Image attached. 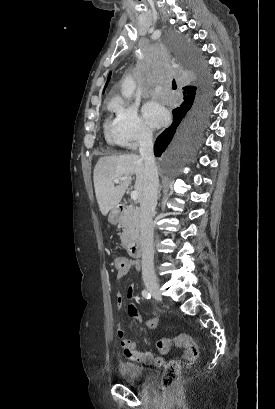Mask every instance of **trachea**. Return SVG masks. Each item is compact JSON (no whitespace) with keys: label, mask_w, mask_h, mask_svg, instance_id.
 Instances as JSON below:
<instances>
[{"label":"trachea","mask_w":275,"mask_h":409,"mask_svg":"<svg viewBox=\"0 0 275 409\" xmlns=\"http://www.w3.org/2000/svg\"><path fill=\"white\" fill-rule=\"evenodd\" d=\"M172 85H173V89L175 90V89L177 88V85H176V82H175V80H173V83H172Z\"/></svg>","instance_id":"3493384b"}]
</instances>
